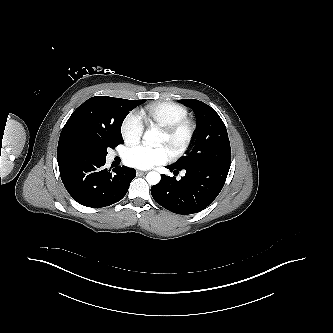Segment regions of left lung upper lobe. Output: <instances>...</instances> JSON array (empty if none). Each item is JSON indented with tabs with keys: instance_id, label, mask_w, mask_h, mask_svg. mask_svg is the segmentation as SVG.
<instances>
[{
	"instance_id": "1",
	"label": "left lung upper lobe",
	"mask_w": 333,
	"mask_h": 333,
	"mask_svg": "<svg viewBox=\"0 0 333 333\" xmlns=\"http://www.w3.org/2000/svg\"><path fill=\"white\" fill-rule=\"evenodd\" d=\"M180 103L194 111L198 134L193 149L172 165L179 169L206 163L230 166V142L225 124L217 112L196 99H183Z\"/></svg>"
}]
</instances>
